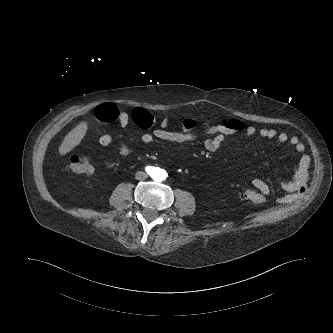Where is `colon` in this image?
<instances>
[{
    "mask_svg": "<svg viewBox=\"0 0 333 333\" xmlns=\"http://www.w3.org/2000/svg\"><path fill=\"white\" fill-rule=\"evenodd\" d=\"M119 116V110L114 104H103L97 107L95 117L101 124L111 123ZM242 121L231 119L220 124H203L198 126L193 120H184L180 124V130L188 135L205 136V137H222L227 138L231 132H239L244 129ZM68 169L77 174H91L94 170L90 160L78 155H73L69 159ZM242 197L254 204H263L266 198L260 192L254 189H245Z\"/></svg>",
    "mask_w": 333,
    "mask_h": 333,
    "instance_id": "obj_1",
    "label": "colon"
}]
</instances>
